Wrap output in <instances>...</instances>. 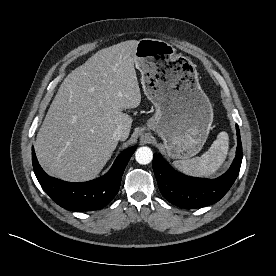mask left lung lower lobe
<instances>
[{
	"instance_id": "1",
	"label": "left lung lower lobe",
	"mask_w": 276,
	"mask_h": 276,
	"mask_svg": "<svg viewBox=\"0 0 276 276\" xmlns=\"http://www.w3.org/2000/svg\"><path fill=\"white\" fill-rule=\"evenodd\" d=\"M237 151L230 168L209 180L189 177L173 170L161 155L154 154L153 169L160 192L172 204L182 208H200L219 201L236 180L242 162V144L238 125Z\"/></svg>"
}]
</instances>
